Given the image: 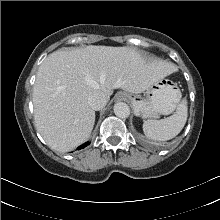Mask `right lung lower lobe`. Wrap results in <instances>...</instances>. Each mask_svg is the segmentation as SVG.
Returning a JSON list of instances; mask_svg holds the SVG:
<instances>
[{
  "instance_id": "98d812e1",
  "label": "right lung lower lobe",
  "mask_w": 220,
  "mask_h": 220,
  "mask_svg": "<svg viewBox=\"0 0 220 220\" xmlns=\"http://www.w3.org/2000/svg\"><path fill=\"white\" fill-rule=\"evenodd\" d=\"M88 144H89V142H86V143L82 144L81 146H79L78 149H79V150H80V149H83V148H85Z\"/></svg>"
}]
</instances>
